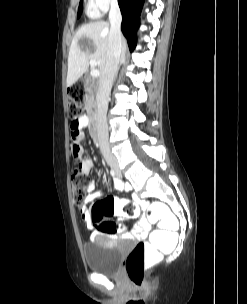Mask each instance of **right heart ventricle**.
<instances>
[{
	"label": "right heart ventricle",
	"mask_w": 247,
	"mask_h": 304,
	"mask_svg": "<svg viewBox=\"0 0 247 304\" xmlns=\"http://www.w3.org/2000/svg\"><path fill=\"white\" fill-rule=\"evenodd\" d=\"M87 14L89 17H96L98 15V12L96 11V9L92 6L91 2L89 1L88 3V7H87Z\"/></svg>",
	"instance_id": "1"
}]
</instances>
